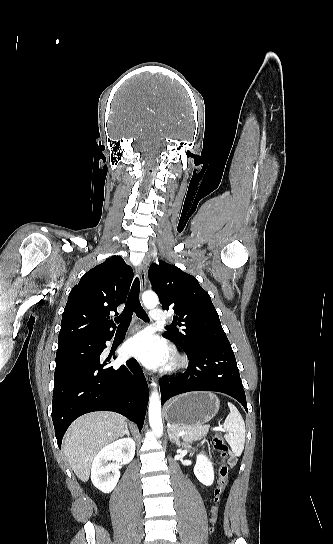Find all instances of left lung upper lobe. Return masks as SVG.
Segmentation results:
<instances>
[{"mask_svg": "<svg viewBox=\"0 0 333 544\" xmlns=\"http://www.w3.org/2000/svg\"><path fill=\"white\" fill-rule=\"evenodd\" d=\"M149 279L162 309L173 307V320L183 328L182 331L165 332V338L185 352L202 346L231 348L209 294L195 277L160 261L159 264H151Z\"/></svg>", "mask_w": 333, "mask_h": 544, "instance_id": "obj_1", "label": "left lung upper lobe"}]
</instances>
